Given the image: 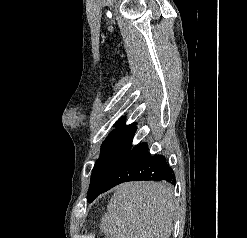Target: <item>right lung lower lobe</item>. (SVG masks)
Segmentation results:
<instances>
[{"mask_svg": "<svg viewBox=\"0 0 247 238\" xmlns=\"http://www.w3.org/2000/svg\"><path fill=\"white\" fill-rule=\"evenodd\" d=\"M138 180H166L172 184L175 183V176L165 157L162 155L151 156L147 145L144 143L133 149L130 147L115 167L110 180L101 193L122 182Z\"/></svg>", "mask_w": 247, "mask_h": 238, "instance_id": "right-lung-lower-lobe-1", "label": "right lung lower lobe"}]
</instances>
